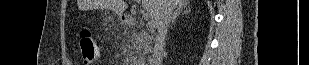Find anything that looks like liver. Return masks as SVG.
<instances>
[{
  "label": "liver",
  "instance_id": "6515ba94",
  "mask_svg": "<svg viewBox=\"0 0 309 65\" xmlns=\"http://www.w3.org/2000/svg\"><path fill=\"white\" fill-rule=\"evenodd\" d=\"M189 0H142V7L149 16L153 27H156L160 16L167 8H183ZM81 9H107L115 11L119 16L128 8L124 0H83L78 3Z\"/></svg>",
  "mask_w": 309,
  "mask_h": 65
}]
</instances>
